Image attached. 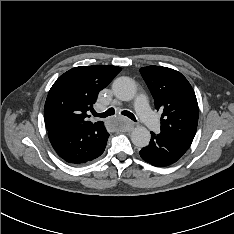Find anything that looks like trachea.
Returning a JSON list of instances; mask_svg holds the SVG:
<instances>
[{
	"mask_svg": "<svg viewBox=\"0 0 234 234\" xmlns=\"http://www.w3.org/2000/svg\"><path fill=\"white\" fill-rule=\"evenodd\" d=\"M122 113V115H124V116H127L128 118H130L131 120H133V121H136V118H135V116L131 113V112H129V111H122L121 112ZM115 114V110L113 109V108H109L106 112H104V113H96V112H93V115L95 116V117H100V118H106V117H108V116H112V115H114Z\"/></svg>",
	"mask_w": 234,
	"mask_h": 234,
	"instance_id": "obj_1",
	"label": "trachea"
}]
</instances>
